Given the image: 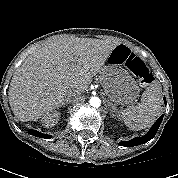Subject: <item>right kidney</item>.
<instances>
[{
	"label": "right kidney",
	"instance_id": "obj_1",
	"mask_svg": "<svg viewBox=\"0 0 178 178\" xmlns=\"http://www.w3.org/2000/svg\"><path fill=\"white\" fill-rule=\"evenodd\" d=\"M59 116H60V113H58L57 111L50 112L48 114H45L42 117L41 121L45 127H51L57 124L59 120Z\"/></svg>",
	"mask_w": 178,
	"mask_h": 178
}]
</instances>
